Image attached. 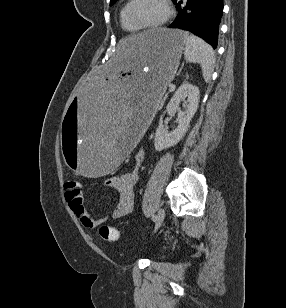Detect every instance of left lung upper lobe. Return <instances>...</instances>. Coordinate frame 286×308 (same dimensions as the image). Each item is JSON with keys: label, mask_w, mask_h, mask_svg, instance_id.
<instances>
[{"label": "left lung upper lobe", "mask_w": 286, "mask_h": 308, "mask_svg": "<svg viewBox=\"0 0 286 308\" xmlns=\"http://www.w3.org/2000/svg\"><path fill=\"white\" fill-rule=\"evenodd\" d=\"M117 0H110V5H113Z\"/></svg>", "instance_id": "left-lung-upper-lobe-1"}]
</instances>
